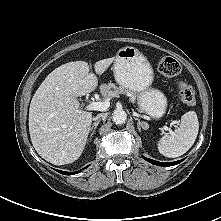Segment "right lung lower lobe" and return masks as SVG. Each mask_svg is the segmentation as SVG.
<instances>
[{
	"label": "right lung lower lobe",
	"mask_w": 221,
	"mask_h": 221,
	"mask_svg": "<svg viewBox=\"0 0 221 221\" xmlns=\"http://www.w3.org/2000/svg\"><path fill=\"white\" fill-rule=\"evenodd\" d=\"M85 168H87V167H85ZM56 171H58L59 173L64 174V175H73V174H77L78 173L77 171L76 172H65V171H60V170H56Z\"/></svg>",
	"instance_id": "obj_1"
}]
</instances>
